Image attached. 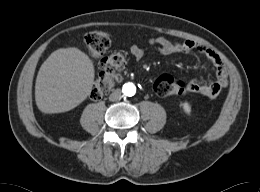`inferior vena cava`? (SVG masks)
Masks as SVG:
<instances>
[{"mask_svg": "<svg viewBox=\"0 0 260 192\" xmlns=\"http://www.w3.org/2000/svg\"><path fill=\"white\" fill-rule=\"evenodd\" d=\"M120 98H121V91L119 89L112 92L109 96L110 101H117Z\"/></svg>", "mask_w": 260, "mask_h": 192, "instance_id": "602c4592", "label": "inferior vena cava"}]
</instances>
